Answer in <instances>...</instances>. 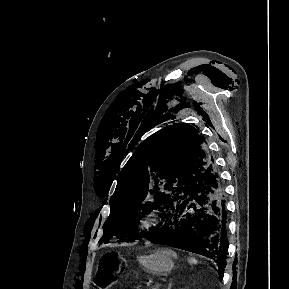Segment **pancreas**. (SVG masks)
<instances>
[{"instance_id": "obj_1", "label": "pancreas", "mask_w": 289, "mask_h": 289, "mask_svg": "<svg viewBox=\"0 0 289 289\" xmlns=\"http://www.w3.org/2000/svg\"><path fill=\"white\" fill-rule=\"evenodd\" d=\"M149 289H159V287L156 285V286H150Z\"/></svg>"}]
</instances>
